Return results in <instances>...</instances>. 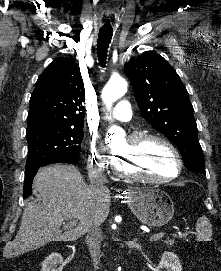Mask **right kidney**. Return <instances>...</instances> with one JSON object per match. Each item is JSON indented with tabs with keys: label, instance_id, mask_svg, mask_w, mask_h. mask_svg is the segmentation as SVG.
Here are the masks:
<instances>
[{
	"label": "right kidney",
	"instance_id": "obj_1",
	"mask_svg": "<svg viewBox=\"0 0 221 271\" xmlns=\"http://www.w3.org/2000/svg\"><path fill=\"white\" fill-rule=\"evenodd\" d=\"M58 265H65L63 257L58 251H53L42 261L41 271H59Z\"/></svg>",
	"mask_w": 221,
	"mask_h": 271
}]
</instances>
